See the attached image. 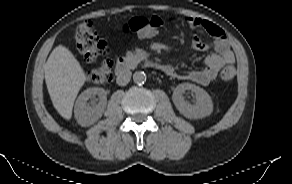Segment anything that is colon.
Instances as JSON below:
<instances>
[{
    "mask_svg": "<svg viewBox=\"0 0 292 184\" xmlns=\"http://www.w3.org/2000/svg\"><path fill=\"white\" fill-rule=\"evenodd\" d=\"M126 30L136 32L143 39H154L160 33L161 23L154 17H135L126 24ZM77 50L84 58L95 63L102 58L99 65L87 73V78L92 83H108L113 79V61L106 57V43L100 39L94 30L92 23L84 21L80 23L74 34ZM236 75V69L232 64L226 65L220 73L223 81H231Z\"/></svg>",
    "mask_w": 292,
    "mask_h": 184,
    "instance_id": "5ec220e1",
    "label": "colon"
}]
</instances>
